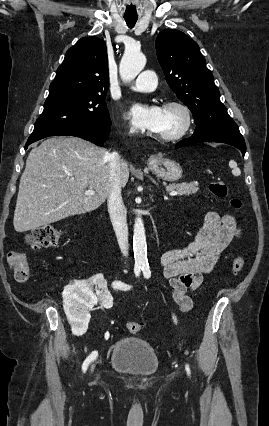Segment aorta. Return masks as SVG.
<instances>
[{"label":"aorta","instance_id":"762f6f07","mask_svg":"<svg viewBox=\"0 0 269 426\" xmlns=\"http://www.w3.org/2000/svg\"><path fill=\"white\" fill-rule=\"evenodd\" d=\"M146 57L139 51H127L120 63V76L123 81L133 80L145 67ZM133 250L135 263L144 265L147 263V244L144 224L141 217L135 219Z\"/></svg>","mask_w":269,"mask_h":426}]
</instances>
